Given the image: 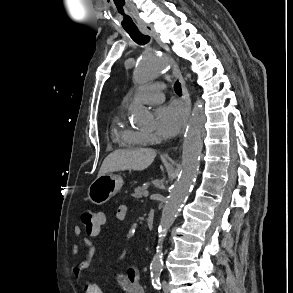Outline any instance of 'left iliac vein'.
Returning a JSON list of instances; mask_svg holds the SVG:
<instances>
[{"label": "left iliac vein", "mask_w": 293, "mask_h": 293, "mask_svg": "<svg viewBox=\"0 0 293 293\" xmlns=\"http://www.w3.org/2000/svg\"><path fill=\"white\" fill-rule=\"evenodd\" d=\"M162 289L164 293H169V287L166 281H163L162 283Z\"/></svg>", "instance_id": "4c4485c4"}]
</instances>
